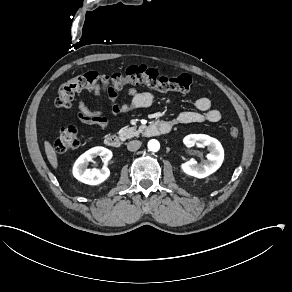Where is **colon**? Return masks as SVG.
Returning <instances> with one entry per match:
<instances>
[{
  "instance_id": "colon-1",
  "label": "colon",
  "mask_w": 292,
  "mask_h": 292,
  "mask_svg": "<svg viewBox=\"0 0 292 292\" xmlns=\"http://www.w3.org/2000/svg\"><path fill=\"white\" fill-rule=\"evenodd\" d=\"M143 84L149 88L160 91H179L187 93L191 90L192 79L187 74L175 77H165L156 70L146 66H130L126 73L114 75H100L97 72H88L63 83L55 99L56 106L68 108L76 93L83 90L100 88L103 90L118 91L127 84ZM230 134L237 136L239 129L236 126L230 128ZM79 137L77 130L72 126L62 127L55 141V149L58 152H67L78 148Z\"/></svg>"
}]
</instances>
